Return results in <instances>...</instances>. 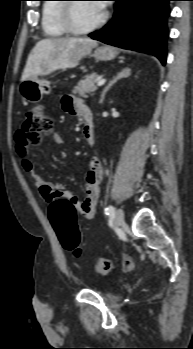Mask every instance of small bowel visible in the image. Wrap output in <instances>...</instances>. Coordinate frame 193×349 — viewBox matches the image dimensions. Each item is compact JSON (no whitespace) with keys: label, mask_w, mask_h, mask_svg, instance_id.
Instances as JSON below:
<instances>
[{"label":"small bowel","mask_w":193,"mask_h":349,"mask_svg":"<svg viewBox=\"0 0 193 349\" xmlns=\"http://www.w3.org/2000/svg\"><path fill=\"white\" fill-rule=\"evenodd\" d=\"M62 109L65 112L75 115L85 116L89 111L84 102L73 96L65 95L61 100ZM83 137L90 145H94V135L92 126L87 123L83 128ZM16 152L19 156L23 169L33 178L35 185L39 189L40 195L46 203H51L55 200L65 199L74 204L77 212L85 219H92L95 215L96 205L99 198L100 183L102 180V164L98 157H92L88 163L87 172L84 175L85 182V197L79 199L69 191L65 190L62 184H51L46 182L37 172L31 160L28 142L25 139L22 130L17 131L16 136ZM53 140L58 144H63V139L60 135L54 134ZM133 268L132 261L128 258L123 260V272H129Z\"/></svg>","instance_id":"small-bowel-1"}]
</instances>
